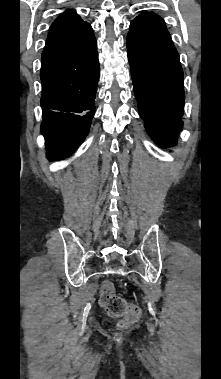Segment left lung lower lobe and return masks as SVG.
Wrapping results in <instances>:
<instances>
[{
    "mask_svg": "<svg viewBox=\"0 0 221 379\" xmlns=\"http://www.w3.org/2000/svg\"><path fill=\"white\" fill-rule=\"evenodd\" d=\"M140 117L162 147L176 143L185 94L179 54L161 17L145 12L130 24L126 39Z\"/></svg>",
    "mask_w": 221,
    "mask_h": 379,
    "instance_id": "left-lung-lower-lobe-1",
    "label": "left lung lower lobe"
}]
</instances>
